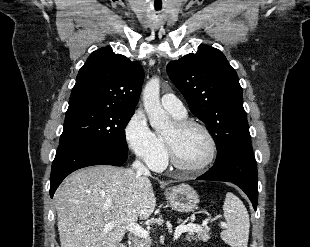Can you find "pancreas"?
I'll return each instance as SVG.
<instances>
[{"label":"pancreas","instance_id":"cf45deb5","mask_svg":"<svg viewBox=\"0 0 310 247\" xmlns=\"http://www.w3.org/2000/svg\"><path fill=\"white\" fill-rule=\"evenodd\" d=\"M210 229L209 228H203L200 231L197 232V235L195 238H193L192 236L194 235L193 232H189L186 235V239L188 241H191L190 237L196 241L202 240L203 242H207L210 239V233H209ZM130 247H149L148 242H145L139 238H135L133 240V243Z\"/></svg>","mask_w":310,"mask_h":247}]
</instances>
